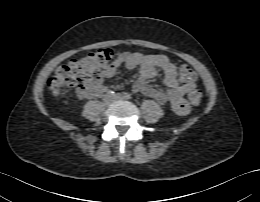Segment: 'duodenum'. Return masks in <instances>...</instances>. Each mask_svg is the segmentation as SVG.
<instances>
[{"instance_id":"1","label":"duodenum","mask_w":260,"mask_h":202,"mask_svg":"<svg viewBox=\"0 0 260 202\" xmlns=\"http://www.w3.org/2000/svg\"><path fill=\"white\" fill-rule=\"evenodd\" d=\"M92 93H93V92H92V90H90V89H87V90L85 91V95H86L87 97L90 96Z\"/></svg>"}]
</instances>
